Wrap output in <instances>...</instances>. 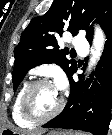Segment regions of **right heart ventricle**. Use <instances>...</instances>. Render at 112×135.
I'll use <instances>...</instances> for the list:
<instances>
[{
  "label": "right heart ventricle",
  "instance_id": "right-heart-ventricle-1",
  "mask_svg": "<svg viewBox=\"0 0 112 135\" xmlns=\"http://www.w3.org/2000/svg\"><path fill=\"white\" fill-rule=\"evenodd\" d=\"M29 84H30L29 82H25L21 86L11 106L12 120L17 126L22 127V128H29L34 124L33 122L27 120L21 112V99H22L24 91L26 90Z\"/></svg>",
  "mask_w": 112,
  "mask_h": 135
}]
</instances>
